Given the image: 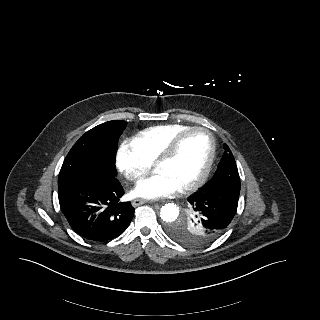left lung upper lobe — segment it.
Returning a JSON list of instances; mask_svg holds the SVG:
<instances>
[{"label":"left lung upper lobe","instance_id":"5c2ea615","mask_svg":"<svg viewBox=\"0 0 320 320\" xmlns=\"http://www.w3.org/2000/svg\"><path fill=\"white\" fill-rule=\"evenodd\" d=\"M214 177L203 188L211 192H226L239 197L240 178L233 154L227 144ZM169 235L187 246H198L210 242L200 214L190 205L183 219L168 226Z\"/></svg>","mask_w":320,"mask_h":320}]
</instances>
